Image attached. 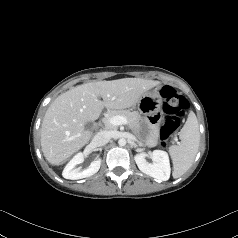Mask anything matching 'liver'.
<instances>
[{
    "label": "liver",
    "mask_w": 238,
    "mask_h": 238,
    "mask_svg": "<svg viewBox=\"0 0 238 238\" xmlns=\"http://www.w3.org/2000/svg\"><path fill=\"white\" fill-rule=\"evenodd\" d=\"M158 84L153 80L123 78L82 84L59 95L42 121L41 147L45 159L53 165L61 164L91 139L93 132L85 129L87 122L98 119L104 108L134 106Z\"/></svg>",
    "instance_id": "obj_1"
}]
</instances>
